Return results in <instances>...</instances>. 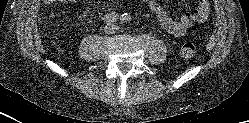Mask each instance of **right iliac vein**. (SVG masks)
<instances>
[{
	"instance_id": "1",
	"label": "right iliac vein",
	"mask_w": 249,
	"mask_h": 123,
	"mask_svg": "<svg viewBox=\"0 0 249 123\" xmlns=\"http://www.w3.org/2000/svg\"><path fill=\"white\" fill-rule=\"evenodd\" d=\"M105 31L107 33H110L112 31V27L111 26H107L106 29H105Z\"/></svg>"
}]
</instances>
